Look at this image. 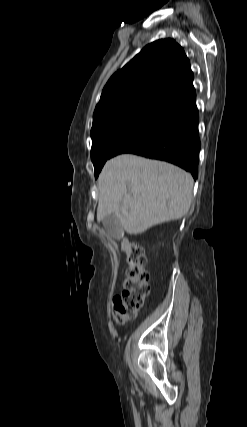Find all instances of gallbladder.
<instances>
[{
	"mask_svg": "<svg viewBox=\"0 0 247 427\" xmlns=\"http://www.w3.org/2000/svg\"><path fill=\"white\" fill-rule=\"evenodd\" d=\"M103 226L113 238L119 239L123 236V228L114 213L106 215L102 220Z\"/></svg>",
	"mask_w": 247,
	"mask_h": 427,
	"instance_id": "1",
	"label": "gallbladder"
}]
</instances>
